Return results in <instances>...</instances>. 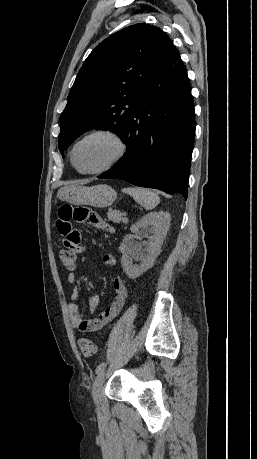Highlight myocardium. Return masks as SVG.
Masks as SVG:
<instances>
[{
  "mask_svg": "<svg viewBox=\"0 0 257 459\" xmlns=\"http://www.w3.org/2000/svg\"><path fill=\"white\" fill-rule=\"evenodd\" d=\"M97 136H105V137L110 138L115 143V145L117 147V151H116L115 155L106 164H104L103 166H101L99 168H96L94 170L83 171L77 166V164L75 162L76 148L82 142H84L85 140H87L89 138L97 137ZM125 153H126V144H125L124 140L122 139V137L116 131H114V130H112L110 128H98V129H94V130L84 134L82 137H80L78 140H76V142L73 144V146L71 148V151H70V160H71V163L74 166V168L79 173L85 174V175H94V174L104 173V172L110 170L111 168H113L115 165H117L122 160V158L125 156Z\"/></svg>",
  "mask_w": 257,
  "mask_h": 459,
  "instance_id": "obj_1",
  "label": "myocardium"
}]
</instances>
